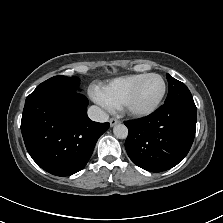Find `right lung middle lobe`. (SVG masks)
<instances>
[{
    "label": "right lung middle lobe",
    "instance_id": "dd1d6c3e",
    "mask_svg": "<svg viewBox=\"0 0 223 223\" xmlns=\"http://www.w3.org/2000/svg\"><path fill=\"white\" fill-rule=\"evenodd\" d=\"M79 79L77 77L54 76L41 84L26 98L25 102L38 98L47 97L54 94L72 92L78 88Z\"/></svg>",
    "mask_w": 223,
    "mask_h": 223
}]
</instances>
